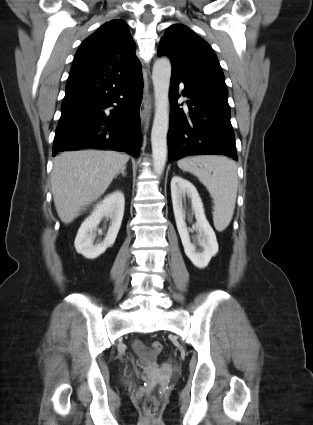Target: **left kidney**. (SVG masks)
I'll use <instances>...</instances> for the list:
<instances>
[{"label":"left kidney","instance_id":"1","mask_svg":"<svg viewBox=\"0 0 313 425\" xmlns=\"http://www.w3.org/2000/svg\"><path fill=\"white\" fill-rule=\"evenodd\" d=\"M185 196L191 199L192 213L196 218L195 228L199 232L198 241L203 248L202 252H197L195 245L190 240L183 207ZM171 197L175 221L185 254L194 266L204 269L218 252V243L215 232L205 217L203 203L198 191L191 182L179 176H174L171 180Z\"/></svg>","mask_w":313,"mask_h":425}]
</instances>
